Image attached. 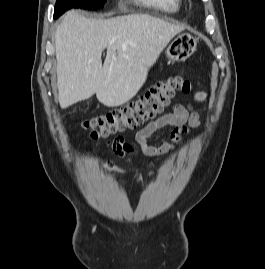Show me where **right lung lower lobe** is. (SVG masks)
Wrapping results in <instances>:
<instances>
[{
    "mask_svg": "<svg viewBox=\"0 0 265 269\" xmlns=\"http://www.w3.org/2000/svg\"><path fill=\"white\" fill-rule=\"evenodd\" d=\"M54 18H57V16H56V15H54Z\"/></svg>",
    "mask_w": 265,
    "mask_h": 269,
    "instance_id": "obj_1",
    "label": "right lung lower lobe"
}]
</instances>
